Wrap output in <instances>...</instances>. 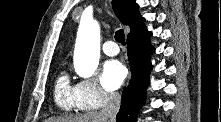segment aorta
Wrapping results in <instances>:
<instances>
[{"instance_id": "762f6f07", "label": "aorta", "mask_w": 221, "mask_h": 122, "mask_svg": "<svg viewBox=\"0 0 221 122\" xmlns=\"http://www.w3.org/2000/svg\"><path fill=\"white\" fill-rule=\"evenodd\" d=\"M100 27L97 21L89 20L80 23L75 50L74 68L83 78L94 74L99 64Z\"/></svg>"}]
</instances>
